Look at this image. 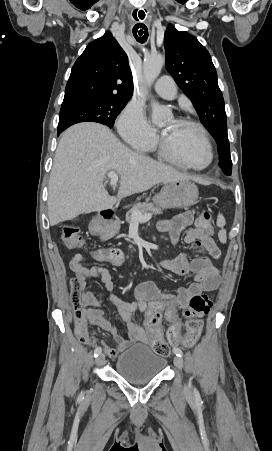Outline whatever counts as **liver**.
<instances>
[{
  "label": "liver",
  "instance_id": "1",
  "mask_svg": "<svg viewBox=\"0 0 272 451\" xmlns=\"http://www.w3.org/2000/svg\"><path fill=\"white\" fill-rule=\"evenodd\" d=\"M120 176L118 196L103 186L107 172ZM202 178L177 172L121 144L107 126L83 122L68 128L58 144L48 186V218L51 226L79 214L113 208L122 198L140 194L155 184Z\"/></svg>",
  "mask_w": 272,
  "mask_h": 451
}]
</instances>
